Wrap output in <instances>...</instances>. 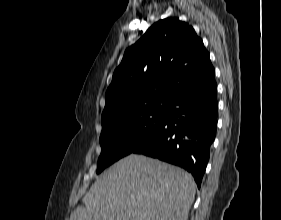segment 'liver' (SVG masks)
<instances>
[{"instance_id":"1","label":"liver","mask_w":281,"mask_h":220,"mask_svg":"<svg viewBox=\"0 0 281 220\" xmlns=\"http://www.w3.org/2000/svg\"><path fill=\"white\" fill-rule=\"evenodd\" d=\"M195 191L183 169L131 154L96 179L70 220H187Z\"/></svg>"}]
</instances>
